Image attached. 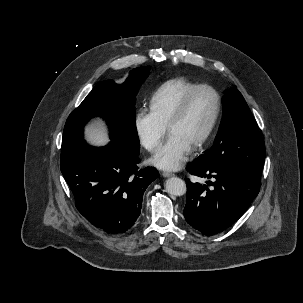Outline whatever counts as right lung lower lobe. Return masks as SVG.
Listing matches in <instances>:
<instances>
[{"label":"right lung lower lobe","instance_id":"98d812e1","mask_svg":"<svg viewBox=\"0 0 303 303\" xmlns=\"http://www.w3.org/2000/svg\"><path fill=\"white\" fill-rule=\"evenodd\" d=\"M138 154L114 142L89 146L83 139L61 152V172L75 198L78 211L93 225L109 233L130 230L142 208L143 193L159 173L138 169Z\"/></svg>","mask_w":303,"mask_h":303}]
</instances>
